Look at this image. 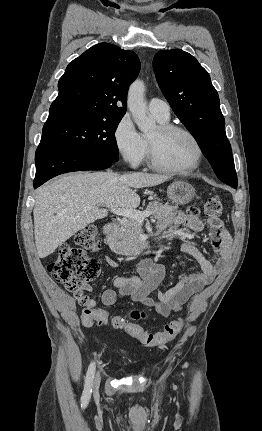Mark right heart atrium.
Instances as JSON below:
<instances>
[{"label":"right heart atrium","instance_id":"d8ad5b80","mask_svg":"<svg viewBox=\"0 0 262 431\" xmlns=\"http://www.w3.org/2000/svg\"><path fill=\"white\" fill-rule=\"evenodd\" d=\"M113 137L119 153L131 164H138L145 158L147 143L128 114L118 120Z\"/></svg>","mask_w":262,"mask_h":431}]
</instances>
